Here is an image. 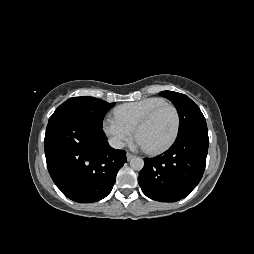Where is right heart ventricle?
Listing matches in <instances>:
<instances>
[{
	"instance_id": "1",
	"label": "right heart ventricle",
	"mask_w": 254,
	"mask_h": 254,
	"mask_svg": "<svg viewBox=\"0 0 254 254\" xmlns=\"http://www.w3.org/2000/svg\"><path fill=\"white\" fill-rule=\"evenodd\" d=\"M157 97L144 98L134 102L122 104L115 108L114 115L128 126L135 128L137 123L152 109L164 103Z\"/></svg>"
}]
</instances>
